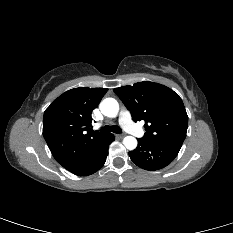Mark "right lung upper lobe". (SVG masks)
I'll return each instance as SVG.
<instances>
[{
    "instance_id": "1",
    "label": "right lung upper lobe",
    "mask_w": 233,
    "mask_h": 233,
    "mask_svg": "<svg viewBox=\"0 0 233 233\" xmlns=\"http://www.w3.org/2000/svg\"><path fill=\"white\" fill-rule=\"evenodd\" d=\"M106 88L80 87L66 91L44 112L43 136L54 158L67 170L79 164L106 136L86 132L92 110Z\"/></svg>"
}]
</instances>
